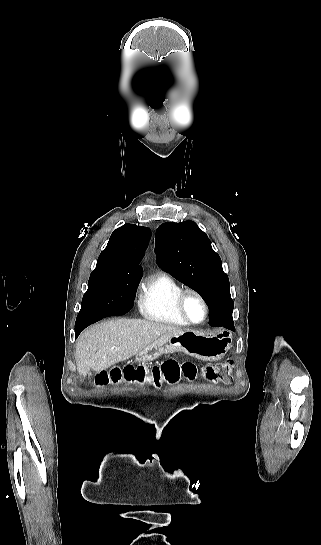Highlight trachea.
I'll list each match as a JSON object with an SVG mask.
<instances>
[{"label":"trachea","instance_id":"1","mask_svg":"<svg viewBox=\"0 0 321 545\" xmlns=\"http://www.w3.org/2000/svg\"><path fill=\"white\" fill-rule=\"evenodd\" d=\"M156 112L157 113H162L163 112V107L162 106H157L156 107Z\"/></svg>","mask_w":321,"mask_h":545}]
</instances>
